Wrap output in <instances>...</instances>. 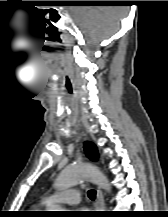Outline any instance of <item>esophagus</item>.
Masks as SVG:
<instances>
[{
	"mask_svg": "<svg viewBox=\"0 0 168 217\" xmlns=\"http://www.w3.org/2000/svg\"><path fill=\"white\" fill-rule=\"evenodd\" d=\"M104 197L102 190L100 188L97 189V199H96V208L98 210H102L104 208Z\"/></svg>",
	"mask_w": 168,
	"mask_h": 217,
	"instance_id": "obj_1",
	"label": "esophagus"
}]
</instances>
